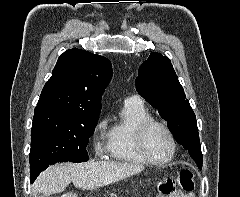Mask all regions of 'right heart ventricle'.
<instances>
[{"label": "right heart ventricle", "instance_id": "1", "mask_svg": "<svg viewBox=\"0 0 240 197\" xmlns=\"http://www.w3.org/2000/svg\"><path fill=\"white\" fill-rule=\"evenodd\" d=\"M149 117L143 104L124 103L120 120L111 125L107 134L106 151L111 159L134 165L146 164L135 146L134 131Z\"/></svg>", "mask_w": 240, "mask_h": 197}]
</instances>
